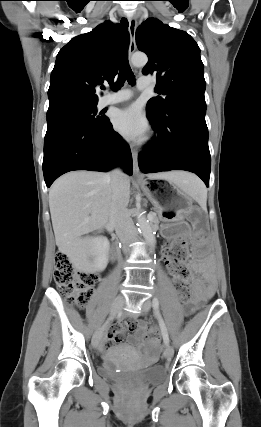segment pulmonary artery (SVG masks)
I'll list each match as a JSON object with an SVG mask.
<instances>
[{
    "mask_svg": "<svg viewBox=\"0 0 261 427\" xmlns=\"http://www.w3.org/2000/svg\"><path fill=\"white\" fill-rule=\"evenodd\" d=\"M152 85V81L149 78L142 77L138 81V88L140 90H145L150 88ZM132 97L131 90L125 89L122 91H119L117 93H113L110 95H107L103 97L99 103L100 107H107L109 105L121 103L124 101L129 100Z\"/></svg>",
    "mask_w": 261,
    "mask_h": 427,
    "instance_id": "e3ab8cb5",
    "label": "pulmonary artery"
}]
</instances>
